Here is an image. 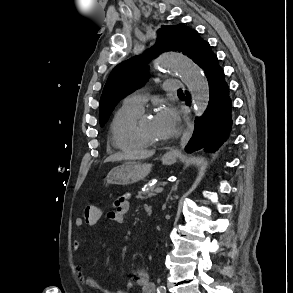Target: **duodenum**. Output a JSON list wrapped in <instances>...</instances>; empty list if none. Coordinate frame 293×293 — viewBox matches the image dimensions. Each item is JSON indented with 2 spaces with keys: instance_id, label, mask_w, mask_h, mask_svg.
Listing matches in <instances>:
<instances>
[{
  "instance_id": "410a0bca",
  "label": "duodenum",
  "mask_w": 293,
  "mask_h": 293,
  "mask_svg": "<svg viewBox=\"0 0 293 293\" xmlns=\"http://www.w3.org/2000/svg\"><path fill=\"white\" fill-rule=\"evenodd\" d=\"M145 212H146L147 215H151L152 212H153L152 207L151 206H146L145 207Z\"/></svg>"
}]
</instances>
